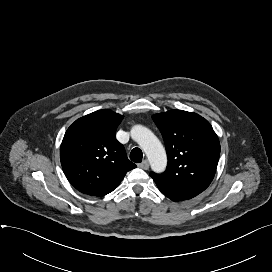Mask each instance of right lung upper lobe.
Masks as SVG:
<instances>
[{
	"instance_id": "obj_1",
	"label": "right lung upper lobe",
	"mask_w": 272,
	"mask_h": 272,
	"mask_svg": "<svg viewBox=\"0 0 272 272\" xmlns=\"http://www.w3.org/2000/svg\"><path fill=\"white\" fill-rule=\"evenodd\" d=\"M123 116L103 109L76 120L66 131L60 159L68 181L80 192L104 196L136 165L115 137Z\"/></svg>"
}]
</instances>
